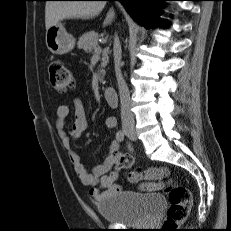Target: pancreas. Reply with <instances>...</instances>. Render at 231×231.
<instances>
[{"instance_id": "1", "label": "pancreas", "mask_w": 231, "mask_h": 231, "mask_svg": "<svg viewBox=\"0 0 231 231\" xmlns=\"http://www.w3.org/2000/svg\"><path fill=\"white\" fill-rule=\"evenodd\" d=\"M98 39H99V36L96 32H94V31L87 32V33H84L79 38L77 46L79 49H83L84 51H86L88 53H91L92 51H94L93 53H96L95 50L100 48L99 44H98ZM100 53H101V51H100ZM108 61H109L108 50H105L102 52V62H101V68H102L101 73L103 75L105 74V71L103 70V68L107 65ZM101 81L103 82V77H102Z\"/></svg>"}]
</instances>
